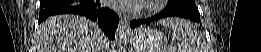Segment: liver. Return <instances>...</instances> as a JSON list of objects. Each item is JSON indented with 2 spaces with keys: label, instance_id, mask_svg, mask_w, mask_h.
<instances>
[{
  "label": "liver",
  "instance_id": "obj_1",
  "mask_svg": "<svg viewBox=\"0 0 261 52\" xmlns=\"http://www.w3.org/2000/svg\"><path fill=\"white\" fill-rule=\"evenodd\" d=\"M103 47V34L96 23L69 14L41 23L34 52H103Z\"/></svg>",
  "mask_w": 261,
  "mask_h": 52
}]
</instances>
